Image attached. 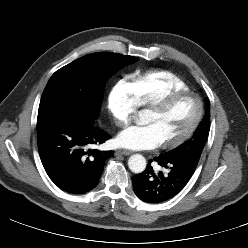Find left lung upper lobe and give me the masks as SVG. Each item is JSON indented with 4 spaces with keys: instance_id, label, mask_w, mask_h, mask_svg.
I'll return each instance as SVG.
<instances>
[{
    "instance_id": "1",
    "label": "left lung upper lobe",
    "mask_w": 248,
    "mask_h": 248,
    "mask_svg": "<svg viewBox=\"0 0 248 248\" xmlns=\"http://www.w3.org/2000/svg\"><path fill=\"white\" fill-rule=\"evenodd\" d=\"M209 130L210 115L207 114L201 124L199 125V127L196 129L194 135L188 141L164 154L169 157H195L199 159L207 141Z\"/></svg>"
}]
</instances>
